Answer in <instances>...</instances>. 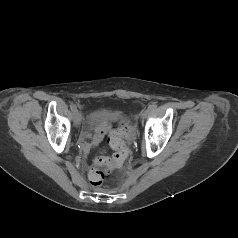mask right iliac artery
<instances>
[{"instance_id": "right-iliac-artery-1", "label": "right iliac artery", "mask_w": 238, "mask_h": 238, "mask_svg": "<svg viewBox=\"0 0 238 238\" xmlns=\"http://www.w3.org/2000/svg\"><path fill=\"white\" fill-rule=\"evenodd\" d=\"M71 111H72L73 113H76V112H77V108H76L75 105H71Z\"/></svg>"}]
</instances>
